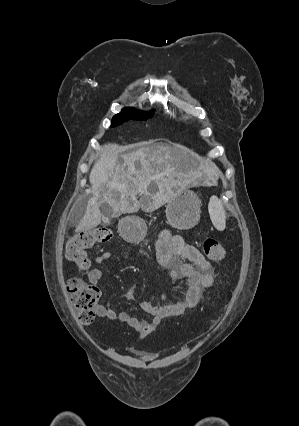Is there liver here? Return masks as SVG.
Segmentation results:
<instances>
[{"instance_id": "6515ba94", "label": "liver", "mask_w": 299, "mask_h": 426, "mask_svg": "<svg viewBox=\"0 0 299 426\" xmlns=\"http://www.w3.org/2000/svg\"><path fill=\"white\" fill-rule=\"evenodd\" d=\"M120 147L105 145V153L90 172L92 197L77 230L88 231L101 223V204L113 208L114 215L137 212L140 208L152 212L167 203L174 195V188L186 177L184 169L191 159L188 150L181 145L149 143L138 150L122 154L123 163L117 165ZM211 174H217L214 166ZM141 194L140 200L137 195Z\"/></svg>"}]
</instances>
